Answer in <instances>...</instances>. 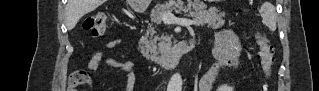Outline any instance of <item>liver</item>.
Returning a JSON list of instances; mask_svg holds the SVG:
<instances>
[{"mask_svg": "<svg viewBox=\"0 0 319 91\" xmlns=\"http://www.w3.org/2000/svg\"><path fill=\"white\" fill-rule=\"evenodd\" d=\"M105 0H69L67 4V25L73 29L87 13L94 11Z\"/></svg>", "mask_w": 319, "mask_h": 91, "instance_id": "1", "label": "liver"}]
</instances>
